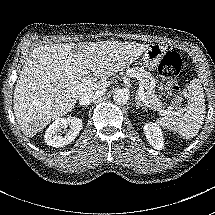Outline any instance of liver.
<instances>
[{"mask_svg": "<svg viewBox=\"0 0 215 215\" xmlns=\"http://www.w3.org/2000/svg\"><path fill=\"white\" fill-rule=\"evenodd\" d=\"M148 44L127 41H95L42 45L31 51L18 76L13 109L19 129L34 137L53 120L68 114L84 93L104 84H84L90 72L95 78L113 76L140 57Z\"/></svg>", "mask_w": 215, "mask_h": 215, "instance_id": "obj_1", "label": "liver"}]
</instances>
